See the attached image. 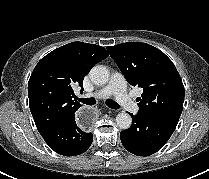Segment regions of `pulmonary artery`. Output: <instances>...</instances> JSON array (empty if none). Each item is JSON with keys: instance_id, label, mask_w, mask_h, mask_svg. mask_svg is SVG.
Wrapping results in <instances>:
<instances>
[{"instance_id": "obj_1", "label": "pulmonary artery", "mask_w": 209, "mask_h": 179, "mask_svg": "<svg viewBox=\"0 0 209 179\" xmlns=\"http://www.w3.org/2000/svg\"><path fill=\"white\" fill-rule=\"evenodd\" d=\"M109 96H114L118 104L125 110L131 113H137L139 111L137 103L128 95L124 77L119 72L112 74L109 83L105 87L86 95V97H94L97 99H104Z\"/></svg>"}]
</instances>
